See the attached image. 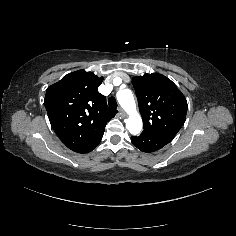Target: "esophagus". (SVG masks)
Segmentation results:
<instances>
[{"label":"esophagus","mask_w":236,"mask_h":236,"mask_svg":"<svg viewBox=\"0 0 236 236\" xmlns=\"http://www.w3.org/2000/svg\"><path fill=\"white\" fill-rule=\"evenodd\" d=\"M118 111L123 118L126 117V113L121 107L118 108Z\"/></svg>","instance_id":"1"}]
</instances>
